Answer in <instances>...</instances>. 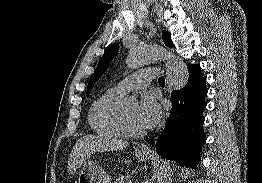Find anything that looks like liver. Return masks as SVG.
Returning a JSON list of instances; mask_svg holds the SVG:
<instances>
[{
  "label": "liver",
  "mask_w": 262,
  "mask_h": 183,
  "mask_svg": "<svg viewBox=\"0 0 262 183\" xmlns=\"http://www.w3.org/2000/svg\"><path fill=\"white\" fill-rule=\"evenodd\" d=\"M128 142L108 135H87L80 138L73 147L68 159V172L73 175L91 154L97 151H117L127 147Z\"/></svg>",
  "instance_id": "6515ba94"
}]
</instances>
